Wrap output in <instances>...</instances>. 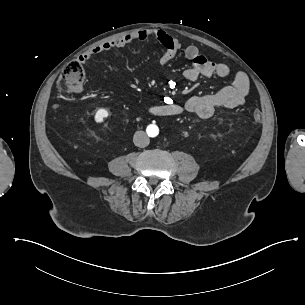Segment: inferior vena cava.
<instances>
[{"label":"inferior vena cava","instance_id":"obj_1","mask_svg":"<svg viewBox=\"0 0 305 305\" xmlns=\"http://www.w3.org/2000/svg\"><path fill=\"white\" fill-rule=\"evenodd\" d=\"M134 145L137 147L144 148L149 145V137L144 131H137L133 137Z\"/></svg>","mask_w":305,"mask_h":305}]
</instances>
